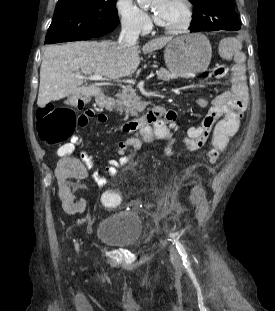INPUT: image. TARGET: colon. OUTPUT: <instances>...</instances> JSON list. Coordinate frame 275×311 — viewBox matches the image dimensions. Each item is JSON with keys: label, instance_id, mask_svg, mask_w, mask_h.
<instances>
[{"label": "colon", "instance_id": "1", "mask_svg": "<svg viewBox=\"0 0 275 311\" xmlns=\"http://www.w3.org/2000/svg\"><path fill=\"white\" fill-rule=\"evenodd\" d=\"M215 76L222 77L227 74L225 65H218L214 71ZM74 102H80L83 97L73 96ZM89 121L88 115L84 112L76 114L70 107H56L49 104L40 108L36 113V129L39 139L48 146L62 145V154L69 155L73 151V146L66 143L77 125L85 126ZM217 135L214 138V145L207 153L209 162L218 160L220 153L227 147L229 139L234 135L233 130H242L243 124L240 118H219L216 125ZM103 204L115 207L118 204L119 196L116 190L103 191Z\"/></svg>", "mask_w": 275, "mask_h": 311}]
</instances>
